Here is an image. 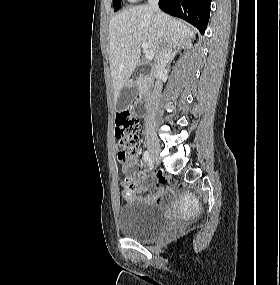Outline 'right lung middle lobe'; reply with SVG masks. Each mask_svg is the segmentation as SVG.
Instances as JSON below:
<instances>
[{
	"mask_svg": "<svg viewBox=\"0 0 280 285\" xmlns=\"http://www.w3.org/2000/svg\"><path fill=\"white\" fill-rule=\"evenodd\" d=\"M121 6V0H114V11H118Z\"/></svg>",
	"mask_w": 280,
	"mask_h": 285,
	"instance_id": "1",
	"label": "right lung middle lobe"
}]
</instances>
